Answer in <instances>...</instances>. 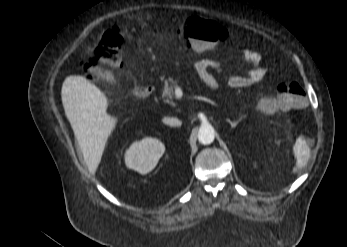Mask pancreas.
I'll return each instance as SVG.
<instances>
[{
	"mask_svg": "<svg viewBox=\"0 0 347 247\" xmlns=\"http://www.w3.org/2000/svg\"><path fill=\"white\" fill-rule=\"evenodd\" d=\"M178 86V81L173 78L165 80L163 86L162 98L165 102H171L173 97L174 89Z\"/></svg>",
	"mask_w": 347,
	"mask_h": 247,
	"instance_id": "1",
	"label": "pancreas"
}]
</instances>
